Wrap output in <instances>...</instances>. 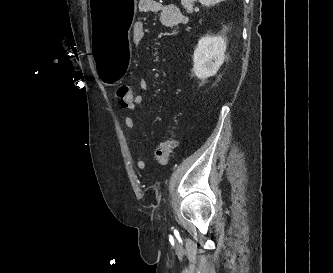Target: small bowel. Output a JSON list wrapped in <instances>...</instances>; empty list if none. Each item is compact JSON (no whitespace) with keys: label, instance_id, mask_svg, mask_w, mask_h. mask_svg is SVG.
I'll use <instances>...</instances> for the list:
<instances>
[{"label":"small bowel","instance_id":"1","mask_svg":"<svg viewBox=\"0 0 333 273\" xmlns=\"http://www.w3.org/2000/svg\"><path fill=\"white\" fill-rule=\"evenodd\" d=\"M138 11L142 14H147V13L158 14L160 23L163 26L169 28L179 27L185 24L186 22L185 15L177 5L163 4L158 0H138ZM145 33H146L145 23L143 21H136L133 24V30H132V41L136 47H139L143 43L145 39ZM148 87L149 84L146 79H141L139 81V89L142 92L147 91ZM130 94H133L134 96L135 108L143 102V96L141 94H135L132 91L130 92ZM134 109H125V110L133 111ZM124 124L129 134L132 135L135 130L134 119L130 115H125ZM134 162L138 170H144L146 168L145 161L138 155L136 151L134 152Z\"/></svg>","mask_w":333,"mask_h":273}]
</instances>
